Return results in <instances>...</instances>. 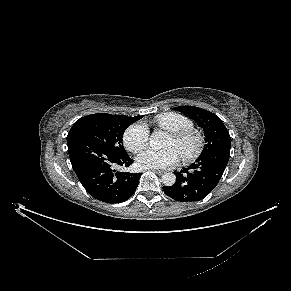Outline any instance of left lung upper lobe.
<instances>
[{"mask_svg":"<svg viewBox=\"0 0 291 291\" xmlns=\"http://www.w3.org/2000/svg\"><path fill=\"white\" fill-rule=\"evenodd\" d=\"M173 109L189 116L203 128L206 144L199 157L209 155L221 148L230 149L231 139L229 132L217 115L194 106H179Z\"/></svg>","mask_w":291,"mask_h":291,"instance_id":"obj_1","label":"left lung upper lobe"}]
</instances>
